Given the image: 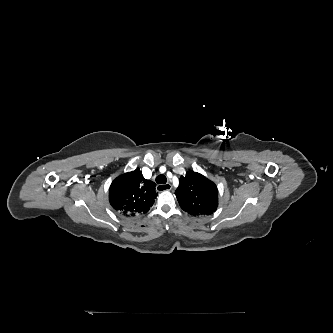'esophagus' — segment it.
<instances>
[{"mask_svg": "<svg viewBox=\"0 0 333 333\" xmlns=\"http://www.w3.org/2000/svg\"><path fill=\"white\" fill-rule=\"evenodd\" d=\"M171 189H172V185L169 184V183L159 184L156 187V190L159 191V192L164 191V190H171Z\"/></svg>", "mask_w": 333, "mask_h": 333, "instance_id": "esophagus-1", "label": "esophagus"}]
</instances>
